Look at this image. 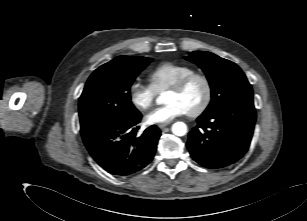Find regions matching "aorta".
<instances>
[{
  "label": "aorta",
  "mask_w": 307,
  "mask_h": 221,
  "mask_svg": "<svg viewBox=\"0 0 307 221\" xmlns=\"http://www.w3.org/2000/svg\"><path fill=\"white\" fill-rule=\"evenodd\" d=\"M156 102L158 104H162V99L161 97L157 98ZM172 132L176 135V136H183L187 133V126L185 123L183 122H176L172 125Z\"/></svg>",
  "instance_id": "1"
}]
</instances>
